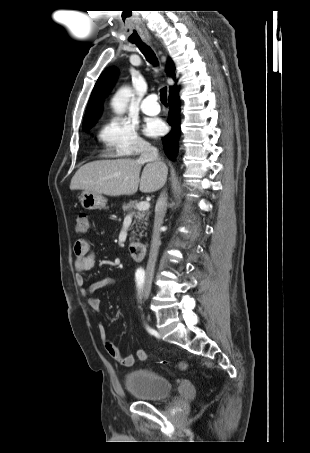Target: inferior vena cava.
Returning <instances> with one entry per match:
<instances>
[{
  "instance_id": "inferior-vena-cava-1",
  "label": "inferior vena cava",
  "mask_w": 310,
  "mask_h": 453,
  "mask_svg": "<svg viewBox=\"0 0 310 453\" xmlns=\"http://www.w3.org/2000/svg\"><path fill=\"white\" fill-rule=\"evenodd\" d=\"M141 162H153L166 168L165 164L161 161L157 148L151 146L149 143H144L141 147V155L139 158ZM167 194L163 191L156 203L153 234L151 240V248L149 259L146 267V277L152 278L154 274L155 263L158 256L160 246V228L166 212Z\"/></svg>"
}]
</instances>
